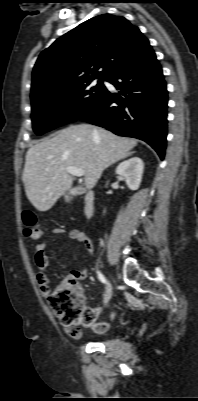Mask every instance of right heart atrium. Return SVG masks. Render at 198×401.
<instances>
[{"mask_svg":"<svg viewBox=\"0 0 198 401\" xmlns=\"http://www.w3.org/2000/svg\"><path fill=\"white\" fill-rule=\"evenodd\" d=\"M71 104V99H69L68 97H61L58 100L57 106L59 110L65 112L70 108Z\"/></svg>","mask_w":198,"mask_h":401,"instance_id":"right-heart-atrium-1","label":"right heart atrium"}]
</instances>
